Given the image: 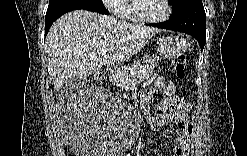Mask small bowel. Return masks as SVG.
Listing matches in <instances>:
<instances>
[{
    "mask_svg": "<svg viewBox=\"0 0 247 156\" xmlns=\"http://www.w3.org/2000/svg\"><path fill=\"white\" fill-rule=\"evenodd\" d=\"M155 93L163 95L164 98H171V103H166V106H158L159 113L151 117L150 122L156 126L176 125L178 132L174 138L173 154L177 156L188 155L193 135V123L187 114L191 110V104L174 96L175 85L160 77L153 87L148 88L143 93L142 100L145 108Z\"/></svg>",
    "mask_w": 247,
    "mask_h": 156,
    "instance_id": "c3829d8e",
    "label": "small bowel"
}]
</instances>
